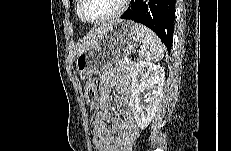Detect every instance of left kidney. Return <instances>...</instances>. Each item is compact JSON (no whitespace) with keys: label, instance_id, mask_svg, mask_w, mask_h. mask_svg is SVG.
<instances>
[{"label":"left kidney","instance_id":"left-kidney-1","mask_svg":"<svg viewBox=\"0 0 231 151\" xmlns=\"http://www.w3.org/2000/svg\"><path fill=\"white\" fill-rule=\"evenodd\" d=\"M165 73L160 65L139 62L132 73L130 106L136 125L145 129L154 118L162 98ZM146 91L143 105L140 93Z\"/></svg>","mask_w":231,"mask_h":151}]
</instances>
